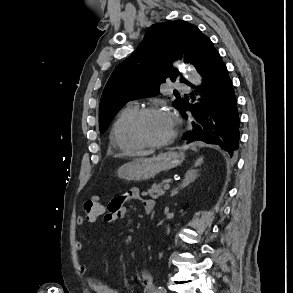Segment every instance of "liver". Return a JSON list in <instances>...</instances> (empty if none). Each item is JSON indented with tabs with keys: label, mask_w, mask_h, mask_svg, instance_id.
<instances>
[{
	"label": "liver",
	"mask_w": 293,
	"mask_h": 293,
	"mask_svg": "<svg viewBox=\"0 0 293 293\" xmlns=\"http://www.w3.org/2000/svg\"><path fill=\"white\" fill-rule=\"evenodd\" d=\"M150 154H152V152L151 151H146V152H141L140 153V155L141 156H145V155H150ZM122 155L121 154H117V155H115V157H121Z\"/></svg>",
	"instance_id": "obj_1"
}]
</instances>
